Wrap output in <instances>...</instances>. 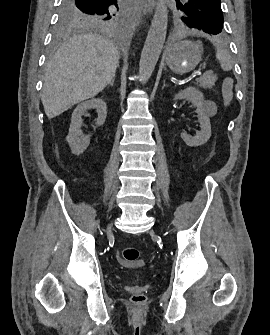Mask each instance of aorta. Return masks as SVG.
<instances>
[{
	"instance_id": "aorta-1",
	"label": "aorta",
	"mask_w": 270,
	"mask_h": 335,
	"mask_svg": "<svg viewBox=\"0 0 270 335\" xmlns=\"http://www.w3.org/2000/svg\"><path fill=\"white\" fill-rule=\"evenodd\" d=\"M167 24V6H165L164 2H158L140 58L139 74L143 82L150 78L158 62L165 42Z\"/></svg>"
}]
</instances>
